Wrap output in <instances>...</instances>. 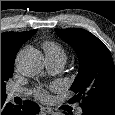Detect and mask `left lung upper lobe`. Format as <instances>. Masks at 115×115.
<instances>
[{
    "mask_svg": "<svg viewBox=\"0 0 115 115\" xmlns=\"http://www.w3.org/2000/svg\"><path fill=\"white\" fill-rule=\"evenodd\" d=\"M79 58V73L71 86L76 94L70 102H79L83 110L100 115H115V67L108 48L90 32L56 29Z\"/></svg>",
    "mask_w": 115,
    "mask_h": 115,
    "instance_id": "5c2ea615",
    "label": "left lung upper lobe"
}]
</instances>
